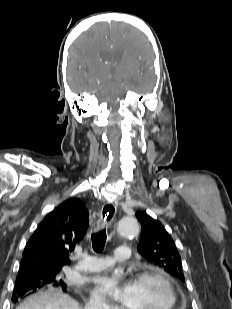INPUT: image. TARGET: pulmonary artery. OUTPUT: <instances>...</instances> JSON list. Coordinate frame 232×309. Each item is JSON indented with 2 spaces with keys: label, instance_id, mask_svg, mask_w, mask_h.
I'll return each instance as SVG.
<instances>
[{
  "label": "pulmonary artery",
  "instance_id": "1",
  "mask_svg": "<svg viewBox=\"0 0 232 309\" xmlns=\"http://www.w3.org/2000/svg\"><path fill=\"white\" fill-rule=\"evenodd\" d=\"M114 255L119 261H126L131 258V250L127 246H118L114 250ZM113 264L109 256L94 257L83 255L81 260L74 266V269L82 273H91L104 270Z\"/></svg>",
  "mask_w": 232,
  "mask_h": 309
}]
</instances>
